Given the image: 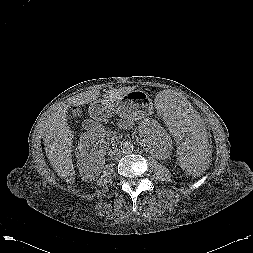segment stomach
Segmentation results:
<instances>
[{"mask_svg": "<svg viewBox=\"0 0 253 253\" xmlns=\"http://www.w3.org/2000/svg\"><path fill=\"white\" fill-rule=\"evenodd\" d=\"M96 104L106 114L115 112L122 118L136 121L151 115L155 102L153 104L146 92L134 90L120 100L107 103L100 100Z\"/></svg>", "mask_w": 253, "mask_h": 253, "instance_id": "0dacf381", "label": "stomach"}]
</instances>
